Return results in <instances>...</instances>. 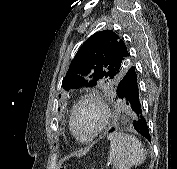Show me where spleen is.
Masks as SVG:
<instances>
[{"label":"spleen","instance_id":"1","mask_svg":"<svg viewBox=\"0 0 177 169\" xmlns=\"http://www.w3.org/2000/svg\"><path fill=\"white\" fill-rule=\"evenodd\" d=\"M110 141L108 162L116 169H130L145 161V151L142 143L133 135L114 132L107 136Z\"/></svg>","mask_w":177,"mask_h":169}]
</instances>
